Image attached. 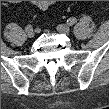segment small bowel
Returning <instances> with one entry per match:
<instances>
[{"instance_id":"obj_1","label":"small bowel","mask_w":109,"mask_h":109,"mask_svg":"<svg viewBox=\"0 0 109 109\" xmlns=\"http://www.w3.org/2000/svg\"><path fill=\"white\" fill-rule=\"evenodd\" d=\"M52 2L51 1H36L35 5L41 9V10H46L51 6Z\"/></svg>"}]
</instances>
